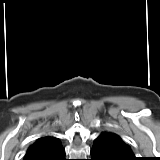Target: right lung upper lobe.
Here are the masks:
<instances>
[{"instance_id": "right-lung-upper-lobe-1", "label": "right lung upper lobe", "mask_w": 160, "mask_h": 160, "mask_svg": "<svg viewBox=\"0 0 160 160\" xmlns=\"http://www.w3.org/2000/svg\"><path fill=\"white\" fill-rule=\"evenodd\" d=\"M61 148L59 139L53 136L38 138L27 150L24 160H40Z\"/></svg>"}]
</instances>
